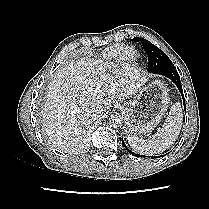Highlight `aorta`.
Masks as SVG:
<instances>
[{
  "label": "aorta",
  "mask_w": 209,
  "mask_h": 209,
  "mask_svg": "<svg viewBox=\"0 0 209 209\" xmlns=\"http://www.w3.org/2000/svg\"><path fill=\"white\" fill-rule=\"evenodd\" d=\"M122 123H123V118L119 114H112L108 118V124L113 128L120 127Z\"/></svg>",
  "instance_id": "1"
}]
</instances>
